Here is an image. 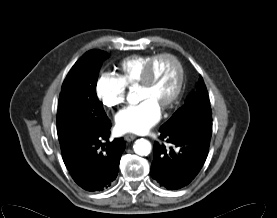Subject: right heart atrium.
I'll return each mask as SVG.
<instances>
[{
	"instance_id": "right-heart-atrium-1",
	"label": "right heart atrium",
	"mask_w": 277,
	"mask_h": 218,
	"mask_svg": "<svg viewBox=\"0 0 277 218\" xmlns=\"http://www.w3.org/2000/svg\"><path fill=\"white\" fill-rule=\"evenodd\" d=\"M96 92L106 107L113 108L126 100L127 85L120 77L103 72L97 80Z\"/></svg>"
}]
</instances>
